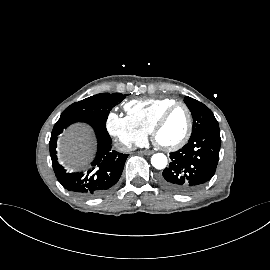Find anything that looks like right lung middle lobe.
<instances>
[{
  "label": "right lung middle lobe",
  "mask_w": 270,
  "mask_h": 270,
  "mask_svg": "<svg viewBox=\"0 0 270 270\" xmlns=\"http://www.w3.org/2000/svg\"><path fill=\"white\" fill-rule=\"evenodd\" d=\"M126 95L120 93H101L73 103L61 114L58 121L66 119L90 118L106 123L111 109L120 103Z\"/></svg>",
  "instance_id": "dd1d6c3e"
}]
</instances>
